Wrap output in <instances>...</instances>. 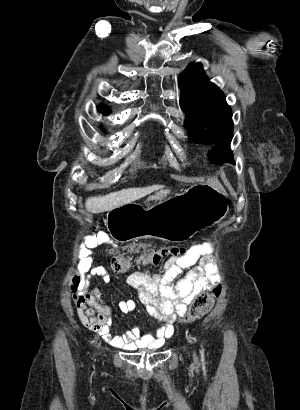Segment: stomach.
Masks as SVG:
<instances>
[{"label":"stomach","instance_id":"1","mask_svg":"<svg viewBox=\"0 0 300 410\" xmlns=\"http://www.w3.org/2000/svg\"><path fill=\"white\" fill-rule=\"evenodd\" d=\"M160 197L162 192L149 200ZM227 212L225 193L210 185H196L149 208L136 203L118 206L107 213L106 224L110 235L118 241L152 237L183 242L221 221Z\"/></svg>","mask_w":300,"mask_h":410}]
</instances>
